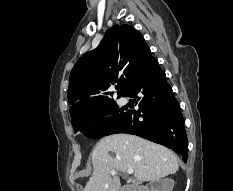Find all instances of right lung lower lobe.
Here are the masks:
<instances>
[{
  "label": "right lung lower lobe",
  "instance_id": "1",
  "mask_svg": "<svg viewBox=\"0 0 233 191\" xmlns=\"http://www.w3.org/2000/svg\"><path fill=\"white\" fill-rule=\"evenodd\" d=\"M125 96L136 98L139 109L126 112L105 135L134 134L172 149L186 162L188 143L180 105L154 57L149 58Z\"/></svg>",
  "mask_w": 233,
  "mask_h": 191
}]
</instances>
